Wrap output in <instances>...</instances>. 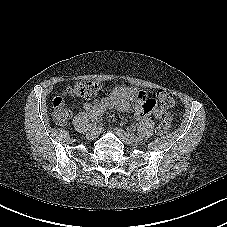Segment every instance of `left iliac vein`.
Returning <instances> with one entry per match:
<instances>
[{
	"label": "left iliac vein",
	"mask_w": 227,
	"mask_h": 227,
	"mask_svg": "<svg viewBox=\"0 0 227 227\" xmlns=\"http://www.w3.org/2000/svg\"><path fill=\"white\" fill-rule=\"evenodd\" d=\"M118 136L125 144L138 145L141 142L137 139V137L124 130H118Z\"/></svg>",
	"instance_id": "obj_1"
}]
</instances>
